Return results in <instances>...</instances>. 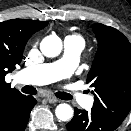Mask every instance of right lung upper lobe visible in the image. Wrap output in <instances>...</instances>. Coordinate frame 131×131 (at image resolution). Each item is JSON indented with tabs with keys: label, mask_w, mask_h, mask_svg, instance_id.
I'll return each mask as SVG.
<instances>
[{
	"label": "right lung upper lobe",
	"mask_w": 131,
	"mask_h": 131,
	"mask_svg": "<svg viewBox=\"0 0 131 131\" xmlns=\"http://www.w3.org/2000/svg\"><path fill=\"white\" fill-rule=\"evenodd\" d=\"M48 22L28 19H12L0 22V128L8 123L12 109L25 96L5 82L23 58L24 47L36 31Z\"/></svg>",
	"instance_id": "obj_1"
}]
</instances>
